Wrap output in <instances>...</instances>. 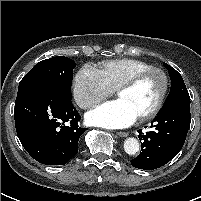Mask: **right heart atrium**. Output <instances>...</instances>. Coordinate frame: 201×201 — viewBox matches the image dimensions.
<instances>
[{
	"instance_id": "1",
	"label": "right heart atrium",
	"mask_w": 201,
	"mask_h": 201,
	"mask_svg": "<svg viewBox=\"0 0 201 201\" xmlns=\"http://www.w3.org/2000/svg\"><path fill=\"white\" fill-rule=\"evenodd\" d=\"M98 69L84 65L73 80V97L82 109H91L112 94Z\"/></svg>"
}]
</instances>
